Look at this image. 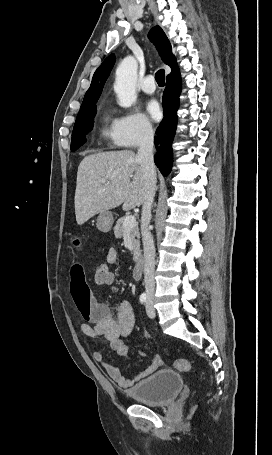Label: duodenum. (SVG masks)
<instances>
[{
  "label": "duodenum",
  "instance_id": "duodenum-1",
  "mask_svg": "<svg viewBox=\"0 0 272 455\" xmlns=\"http://www.w3.org/2000/svg\"><path fill=\"white\" fill-rule=\"evenodd\" d=\"M144 268V259L141 255H138L135 261V266L133 269V277L134 279L138 280L142 277Z\"/></svg>",
  "mask_w": 272,
  "mask_h": 455
}]
</instances>
